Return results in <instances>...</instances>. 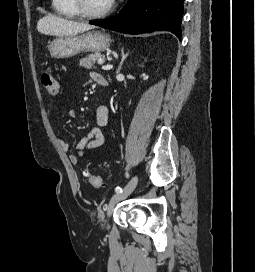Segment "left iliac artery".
Instances as JSON below:
<instances>
[{"label":"left iliac artery","mask_w":255,"mask_h":272,"mask_svg":"<svg viewBox=\"0 0 255 272\" xmlns=\"http://www.w3.org/2000/svg\"><path fill=\"white\" fill-rule=\"evenodd\" d=\"M127 170H128V167H127ZM115 191H116V192H119V193H122V188L116 187V188H115Z\"/></svg>","instance_id":"left-iliac-artery-1"}]
</instances>
